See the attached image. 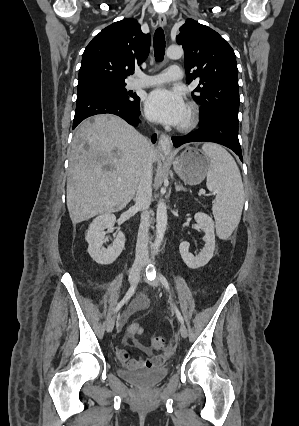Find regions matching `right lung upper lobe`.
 Here are the masks:
<instances>
[{"label": "right lung upper lobe", "mask_w": 299, "mask_h": 426, "mask_svg": "<svg viewBox=\"0 0 299 426\" xmlns=\"http://www.w3.org/2000/svg\"><path fill=\"white\" fill-rule=\"evenodd\" d=\"M150 34H144L137 20L115 22L96 35L85 48L78 75V86L90 84H126L148 56Z\"/></svg>", "instance_id": "1"}]
</instances>
